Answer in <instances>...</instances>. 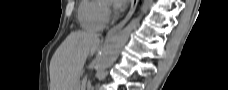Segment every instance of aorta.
<instances>
[{"mask_svg":"<svg viewBox=\"0 0 228 90\" xmlns=\"http://www.w3.org/2000/svg\"><path fill=\"white\" fill-rule=\"evenodd\" d=\"M150 2V0H144L142 14L147 12ZM140 19L141 16L133 19L123 30L106 39L95 66L97 74H101L115 62L120 50L127 43L131 32L139 25Z\"/></svg>","mask_w":228,"mask_h":90,"instance_id":"aorta-1","label":"aorta"}]
</instances>
